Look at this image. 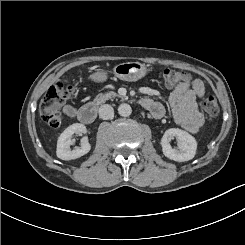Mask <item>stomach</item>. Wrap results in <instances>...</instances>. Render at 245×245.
<instances>
[{"instance_id":"1","label":"stomach","mask_w":245,"mask_h":245,"mask_svg":"<svg viewBox=\"0 0 245 245\" xmlns=\"http://www.w3.org/2000/svg\"><path fill=\"white\" fill-rule=\"evenodd\" d=\"M113 71L117 78L132 82L143 78L149 69L145 64L139 62H125L116 65ZM90 78L95 82H103L107 76L105 72L101 71L93 73Z\"/></svg>"}]
</instances>
